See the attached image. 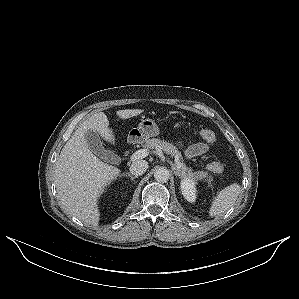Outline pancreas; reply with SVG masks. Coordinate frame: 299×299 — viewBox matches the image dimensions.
Here are the masks:
<instances>
[{
  "label": "pancreas",
  "mask_w": 299,
  "mask_h": 299,
  "mask_svg": "<svg viewBox=\"0 0 299 299\" xmlns=\"http://www.w3.org/2000/svg\"><path fill=\"white\" fill-rule=\"evenodd\" d=\"M145 146L148 149H161L163 150L166 154H170L171 156H174L176 158V162L179 161L181 163V168L180 172L183 176L188 177L192 180H204L208 183L210 187H212V176L208 175L207 172L204 171H198V172H192L191 168H188L182 160V155L181 153L177 150V148L165 141V140H160L157 138H152L148 139L145 143Z\"/></svg>",
  "instance_id": "1"
}]
</instances>
